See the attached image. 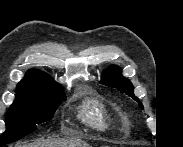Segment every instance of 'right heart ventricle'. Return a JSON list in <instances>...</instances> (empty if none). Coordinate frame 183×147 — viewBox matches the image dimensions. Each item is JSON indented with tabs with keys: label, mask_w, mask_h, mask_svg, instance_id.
Here are the masks:
<instances>
[{
	"label": "right heart ventricle",
	"mask_w": 183,
	"mask_h": 147,
	"mask_svg": "<svg viewBox=\"0 0 183 147\" xmlns=\"http://www.w3.org/2000/svg\"><path fill=\"white\" fill-rule=\"evenodd\" d=\"M81 118L90 126L99 130H105L111 125L112 115L108 107L102 102L91 99L82 105Z\"/></svg>",
	"instance_id": "1"
}]
</instances>
